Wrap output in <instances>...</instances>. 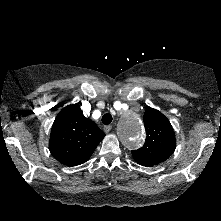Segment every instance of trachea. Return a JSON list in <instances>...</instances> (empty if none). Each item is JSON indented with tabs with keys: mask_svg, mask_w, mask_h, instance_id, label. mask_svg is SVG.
<instances>
[{
	"mask_svg": "<svg viewBox=\"0 0 221 221\" xmlns=\"http://www.w3.org/2000/svg\"><path fill=\"white\" fill-rule=\"evenodd\" d=\"M112 119L113 118H112L111 114L106 113L102 117V122H103V124L108 125V124H110L112 122Z\"/></svg>",
	"mask_w": 221,
	"mask_h": 221,
	"instance_id": "obj_1",
	"label": "trachea"
}]
</instances>
